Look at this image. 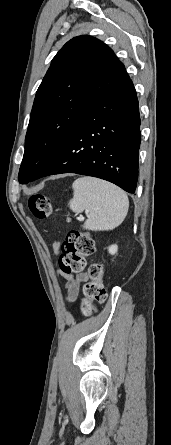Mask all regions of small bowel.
<instances>
[{"label": "small bowel", "instance_id": "obj_1", "mask_svg": "<svg viewBox=\"0 0 171 445\" xmlns=\"http://www.w3.org/2000/svg\"><path fill=\"white\" fill-rule=\"evenodd\" d=\"M61 250V243L55 241L53 243V251L56 255H59ZM57 274L64 278V286L67 290V300L73 302L79 296L81 286L88 280V274L86 272H73L65 273L61 268L57 270Z\"/></svg>", "mask_w": 171, "mask_h": 445}]
</instances>
